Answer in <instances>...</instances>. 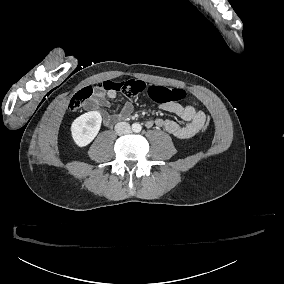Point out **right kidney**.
<instances>
[{
    "instance_id": "ca27d5eb",
    "label": "right kidney",
    "mask_w": 284,
    "mask_h": 284,
    "mask_svg": "<svg viewBox=\"0 0 284 284\" xmlns=\"http://www.w3.org/2000/svg\"><path fill=\"white\" fill-rule=\"evenodd\" d=\"M102 116L98 111L86 112L77 117L71 124V137L77 147L88 146L98 135Z\"/></svg>"
}]
</instances>
